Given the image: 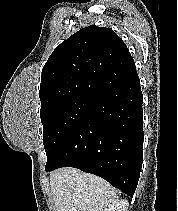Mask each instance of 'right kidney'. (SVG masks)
<instances>
[{
	"label": "right kidney",
	"instance_id": "1",
	"mask_svg": "<svg viewBox=\"0 0 178 211\" xmlns=\"http://www.w3.org/2000/svg\"><path fill=\"white\" fill-rule=\"evenodd\" d=\"M128 201L125 199L117 200L113 204H111L105 211H127L128 209Z\"/></svg>",
	"mask_w": 178,
	"mask_h": 211
}]
</instances>
